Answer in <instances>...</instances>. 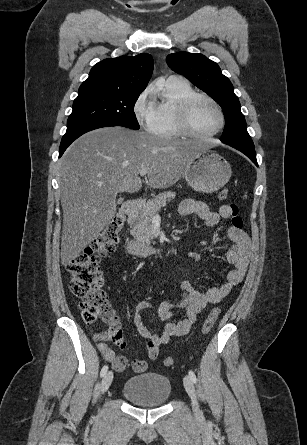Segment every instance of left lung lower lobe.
I'll list each match as a JSON object with an SVG mask.
<instances>
[{
	"mask_svg": "<svg viewBox=\"0 0 307 445\" xmlns=\"http://www.w3.org/2000/svg\"><path fill=\"white\" fill-rule=\"evenodd\" d=\"M228 144L230 146H232L233 148L241 151L242 153H244L247 157H249L251 159V161L258 166L257 164V160H256V152L254 149V145H243V144H233V143H225Z\"/></svg>",
	"mask_w": 307,
	"mask_h": 445,
	"instance_id": "1",
	"label": "left lung lower lobe"
}]
</instances>
